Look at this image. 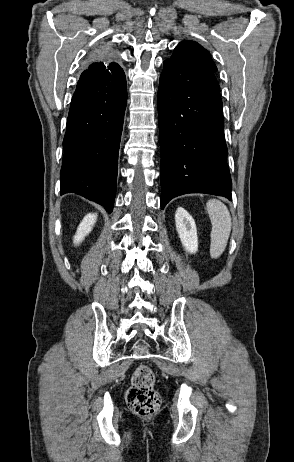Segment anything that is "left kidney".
I'll use <instances>...</instances> for the list:
<instances>
[{
    "mask_svg": "<svg viewBox=\"0 0 294 462\" xmlns=\"http://www.w3.org/2000/svg\"><path fill=\"white\" fill-rule=\"evenodd\" d=\"M175 224L185 250L196 253L198 250V238L196 224L192 216L184 208L179 207L175 213Z\"/></svg>",
    "mask_w": 294,
    "mask_h": 462,
    "instance_id": "left-kidney-1",
    "label": "left kidney"
}]
</instances>
